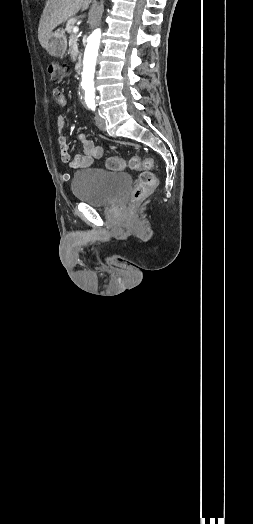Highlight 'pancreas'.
<instances>
[{
	"mask_svg": "<svg viewBox=\"0 0 253 524\" xmlns=\"http://www.w3.org/2000/svg\"><path fill=\"white\" fill-rule=\"evenodd\" d=\"M76 19L75 18H72V19H69L67 24H66V31L67 33H69L71 36H75L76 34L73 32V28H74V25L76 23Z\"/></svg>",
	"mask_w": 253,
	"mask_h": 524,
	"instance_id": "cf45deb5",
	"label": "pancreas"
}]
</instances>
